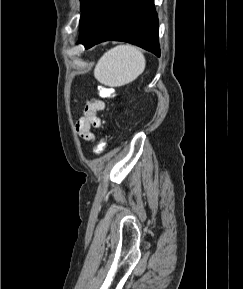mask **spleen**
Listing matches in <instances>:
<instances>
[{
	"mask_svg": "<svg viewBox=\"0 0 243 289\" xmlns=\"http://www.w3.org/2000/svg\"><path fill=\"white\" fill-rule=\"evenodd\" d=\"M145 66V57L139 49L132 45H118L98 60L94 77L106 86L119 87L135 80Z\"/></svg>",
	"mask_w": 243,
	"mask_h": 289,
	"instance_id": "1",
	"label": "spleen"
}]
</instances>
